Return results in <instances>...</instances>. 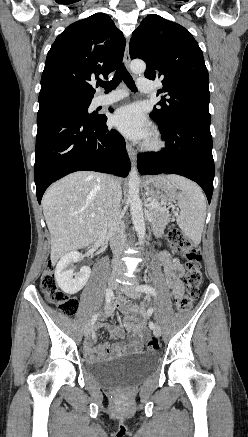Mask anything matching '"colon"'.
<instances>
[{"label": "colon", "mask_w": 248, "mask_h": 437, "mask_svg": "<svg viewBox=\"0 0 248 437\" xmlns=\"http://www.w3.org/2000/svg\"><path fill=\"white\" fill-rule=\"evenodd\" d=\"M172 245L183 255L187 266L185 276L186 292L175 299L179 311H187L192 302L199 296L203 276L201 272V253L199 247L183 236L180 232L174 231L170 235ZM40 287L46 299L55 305L63 314L72 316L78 309V301L74 297L63 292L57 285L54 277V267L48 264L41 276ZM160 342L157 338L151 337L147 341V349L157 351Z\"/></svg>", "instance_id": "colon-1"}]
</instances>
